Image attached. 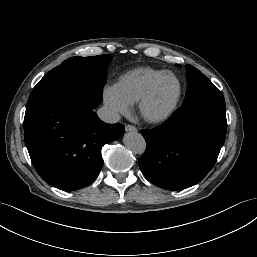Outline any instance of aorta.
<instances>
[{
	"label": "aorta",
	"instance_id": "obj_1",
	"mask_svg": "<svg viewBox=\"0 0 257 257\" xmlns=\"http://www.w3.org/2000/svg\"><path fill=\"white\" fill-rule=\"evenodd\" d=\"M123 142L135 154H143L146 149V142L143 136L136 131L126 133Z\"/></svg>",
	"mask_w": 257,
	"mask_h": 257
}]
</instances>
